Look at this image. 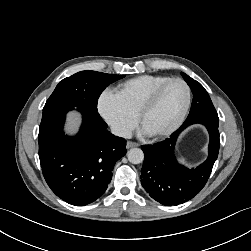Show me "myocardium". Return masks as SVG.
Instances as JSON below:
<instances>
[{
  "label": "myocardium",
  "mask_w": 251,
  "mask_h": 251,
  "mask_svg": "<svg viewBox=\"0 0 251 251\" xmlns=\"http://www.w3.org/2000/svg\"><path fill=\"white\" fill-rule=\"evenodd\" d=\"M174 82H179V83L183 84V86L186 89L185 105H184L180 115L176 119V121L170 127H168L167 129H165L161 132H158V133L148 134V136L150 138L161 139V138H165L167 136H170L182 125V123L184 122V120L188 114V111L191 106V100H192L191 88H190L189 84L182 78H178V77L170 78L167 81L160 84L158 87H156L150 93V95L145 99V101L142 103V105L140 106L138 113H137L138 123H139V125L142 126V122H143L145 115L154 107V105L156 104V102H157L159 96L161 95V93L163 92V90L168 85H170L171 83H174Z\"/></svg>",
  "instance_id": "f54148a6"
}]
</instances>
